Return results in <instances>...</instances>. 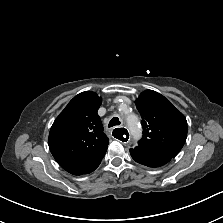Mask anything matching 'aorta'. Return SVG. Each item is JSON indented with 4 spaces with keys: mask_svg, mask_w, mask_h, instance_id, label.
<instances>
[{
    "mask_svg": "<svg viewBox=\"0 0 223 223\" xmlns=\"http://www.w3.org/2000/svg\"><path fill=\"white\" fill-rule=\"evenodd\" d=\"M127 124L133 138L135 140L139 139L141 137V128L137 117L135 115H129L127 117Z\"/></svg>",
    "mask_w": 223,
    "mask_h": 223,
    "instance_id": "762f6f07",
    "label": "aorta"
}]
</instances>
